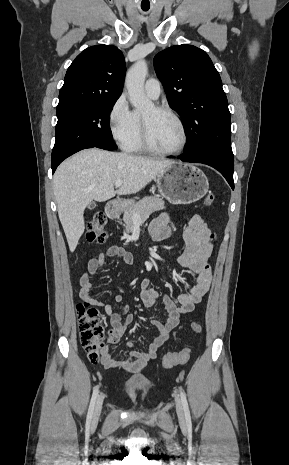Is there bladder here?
<instances>
[{"label": "bladder", "instance_id": "1", "mask_svg": "<svg viewBox=\"0 0 289 465\" xmlns=\"http://www.w3.org/2000/svg\"><path fill=\"white\" fill-rule=\"evenodd\" d=\"M123 388L125 391H152L153 385L145 378H133L124 382Z\"/></svg>", "mask_w": 289, "mask_h": 465}]
</instances>
